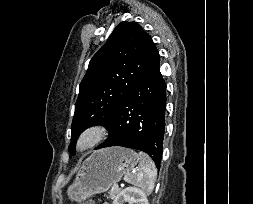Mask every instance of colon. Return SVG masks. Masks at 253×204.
<instances>
[{
  "mask_svg": "<svg viewBox=\"0 0 253 204\" xmlns=\"http://www.w3.org/2000/svg\"><path fill=\"white\" fill-rule=\"evenodd\" d=\"M80 204H93V202L91 200H88V201H86L84 203H80Z\"/></svg>",
  "mask_w": 253,
  "mask_h": 204,
  "instance_id": "colon-1",
  "label": "colon"
}]
</instances>
